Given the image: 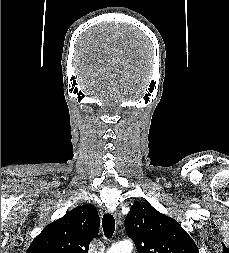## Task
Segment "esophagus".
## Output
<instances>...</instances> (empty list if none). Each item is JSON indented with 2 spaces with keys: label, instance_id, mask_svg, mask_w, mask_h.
<instances>
[{
  "label": "esophagus",
  "instance_id": "1",
  "mask_svg": "<svg viewBox=\"0 0 229 253\" xmlns=\"http://www.w3.org/2000/svg\"><path fill=\"white\" fill-rule=\"evenodd\" d=\"M112 214L114 215L115 219L117 220L118 223H121V214L118 210H114L112 212Z\"/></svg>",
  "mask_w": 229,
  "mask_h": 253
}]
</instances>
